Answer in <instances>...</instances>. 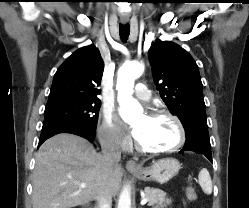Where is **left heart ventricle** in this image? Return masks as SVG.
Returning <instances> with one entry per match:
<instances>
[{
  "label": "left heart ventricle",
  "instance_id": "obj_1",
  "mask_svg": "<svg viewBox=\"0 0 249 208\" xmlns=\"http://www.w3.org/2000/svg\"><path fill=\"white\" fill-rule=\"evenodd\" d=\"M135 126L141 129L137 141L145 148L166 149L178 142L179 131L170 118L144 115L135 122Z\"/></svg>",
  "mask_w": 249,
  "mask_h": 208
}]
</instances>
